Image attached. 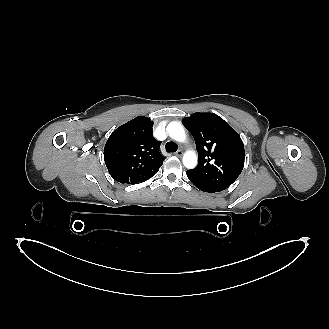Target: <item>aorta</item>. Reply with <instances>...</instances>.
<instances>
[{
    "instance_id": "obj_1",
    "label": "aorta",
    "mask_w": 329,
    "mask_h": 329,
    "mask_svg": "<svg viewBox=\"0 0 329 329\" xmlns=\"http://www.w3.org/2000/svg\"><path fill=\"white\" fill-rule=\"evenodd\" d=\"M167 132L169 136L178 141L180 143H184L186 141V132L182 124L179 122H170L167 126ZM183 164L188 169H193L197 165V155L194 151H187L183 155Z\"/></svg>"
}]
</instances>
